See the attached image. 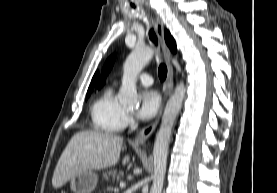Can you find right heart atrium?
Instances as JSON below:
<instances>
[{"instance_id":"d8ad5b80","label":"right heart atrium","mask_w":277,"mask_h":193,"mask_svg":"<svg viewBox=\"0 0 277 193\" xmlns=\"http://www.w3.org/2000/svg\"><path fill=\"white\" fill-rule=\"evenodd\" d=\"M133 123V117L130 113L126 112L124 117V126H129Z\"/></svg>"}]
</instances>
